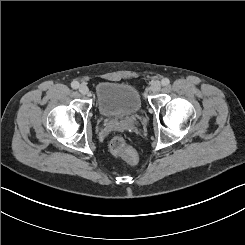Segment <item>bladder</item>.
Returning <instances> with one entry per match:
<instances>
[{
  "label": "bladder",
  "mask_w": 245,
  "mask_h": 245,
  "mask_svg": "<svg viewBox=\"0 0 245 245\" xmlns=\"http://www.w3.org/2000/svg\"><path fill=\"white\" fill-rule=\"evenodd\" d=\"M96 104L101 115L107 118H125L140 111L141 99L136 89L127 84L98 83Z\"/></svg>",
  "instance_id": "31cf9c89"
}]
</instances>
